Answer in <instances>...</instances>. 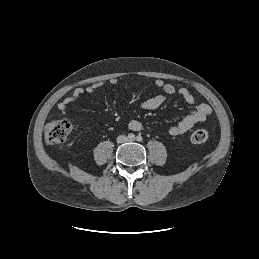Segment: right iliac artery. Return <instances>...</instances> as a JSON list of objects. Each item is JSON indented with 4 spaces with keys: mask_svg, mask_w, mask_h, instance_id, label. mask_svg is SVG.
<instances>
[{
    "mask_svg": "<svg viewBox=\"0 0 259 259\" xmlns=\"http://www.w3.org/2000/svg\"><path fill=\"white\" fill-rule=\"evenodd\" d=\"M128 138H129V139H134V138H135V135H134L133 133H129V134H128Z\"/></svg>",
    "mask_w": 259,
    "mask_h": 259,
    "instance_id": "1",
    "label": "right iliac artery"
}]
</instances>
